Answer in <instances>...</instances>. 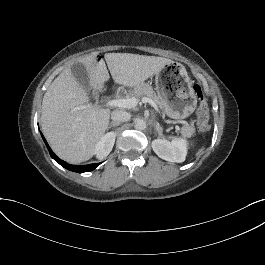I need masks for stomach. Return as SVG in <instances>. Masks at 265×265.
<instances>
[{"label":"stomach","instance_id":"1","mask_svg":"<svg viewBox=\"0 0 265 265\" xmlns=\"http://www.w3.org/2000/svg\"><path fill=\"white\" fill-rule=\"evenodd\" d=\"M155 90L164 102L166 115L172 119H184L196 109L192 81L180 63H170L156 73Z\"/></svg>","mask_w":265,"mask_h":265}]
</instances>
